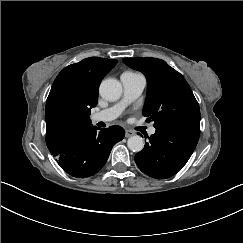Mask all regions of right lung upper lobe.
I'll return each instance as SVG.
<instances>
[{"label": "right lung upper lobe", "mask_w": 243, "mask_h": 243, "mask_svg": "<svg viewBox=\"0 0 243 243\" xmlns=\"http://www.w3.org/2000/svg\"><path fill=\"white\" fill-rule=\"evenodd\" d=\"M117 60L90 57L64 68L46 101V144L52 147L72 132L91 125L90 109L98 100L99 85Z\"/></svg>", "instance_id": "1"}]
</instances>
